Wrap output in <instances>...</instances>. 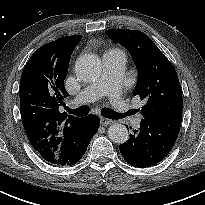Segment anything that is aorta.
Segmentation results:
<instances>
[{"label":"aorta","instance_id":"aorta-1","mask_svg":"<svg viewBox=\"0 0 205 205\" xmlns=\"http://www.w3.org/2000/svg\"><path fill=\"white\" fill-rule=\"evenodd\" d=\"M101 71V60L94 54H84L80 56L75 63L77 78L86 83L96 81L100 77ZM107 132L109 139L116 144L126 142L129 135L127 128L118 123L111 125Z\"/></svg>","mask_w":205,"mask_h":205}]
</instances>
